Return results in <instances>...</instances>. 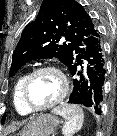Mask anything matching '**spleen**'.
<instances>
[{"label": "spleen", "instance_id": "spleen-1", "mask_svg": "<svg viewBox=\"0 0 117 136\" xmlns=\"http://www.w3.org/2000/svg\"><path fill=\"white\" fill-rule=\"evenodd\" d=\"M52 112L65 119L62 128L64 136H73L74 133L81 129L84 121V113L82 108L78 105L63 104L55 107Z\"/></svg>", "mask_w": 117, "mask_h": 136}]
</instances>
